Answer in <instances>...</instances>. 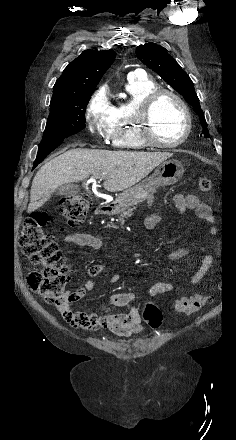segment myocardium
Masks as SVG:
<instances>
[{
    "label": "myocardium",
    "instance_id": "1",
    "mask_svg": "<svg viewBox=\"0 0 236 440\" xmlns=\"http://www.w3.org/2000/svg\"><path fill=\"white\" fill-rule=\"evenodd\" d=\"M164 95H168L175 99V101L180 105L185 117V129L182 136L178 140L168 143L161 142L155 137L152 121L153 108L157 100ZM135 118L138 124V131L142 140L147 146L155 148L166 149L175 148L182 145L189 137L192 129V117L186 102L177 92L164 87H156L143 98L137 108Z\"/></svg>",
    "mask_w": 236,
    "mask_h": 440
}]
</instances>
